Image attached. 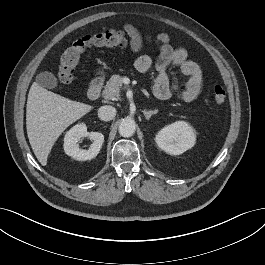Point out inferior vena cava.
Masks as SVG:
<instances>
[{
  "mask_svg": "<svg viewBox=\"0 0 265 265\" xmlns=\"http://www.w3.org/2000/svg\"><path fill=\"white\" fill-rule=\"evenodd\" d=\"M116 115V109L113 106H102L98 110V117L103 121H110Z\"/></svg>",
  "mask_w": 265,
  "mask_h": 265,
  "instance_id": "obj_1",
  "label": "inferior vena cava"
}]
</instances>
